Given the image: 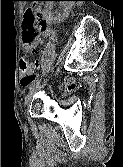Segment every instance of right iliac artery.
<instances>
[{"instance_id": "1", "label": "right iliac artery", "mask_w": 123, "mask_h": 167, "mask_svg": "<svg viewBox=\"0 0 123 167\" xmlns=\"http://www.w3.org/2000/svg\"><path fill=\"white\" fill-rule=\"evenodd\" d=\"M38 84H39L38 81L34 82V83L30 86V89H31V90L34 89L35 86H37Z\"/></svg>"}]
</instances>
